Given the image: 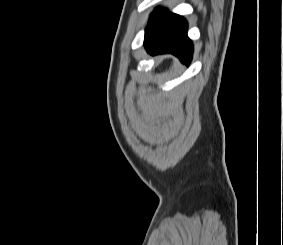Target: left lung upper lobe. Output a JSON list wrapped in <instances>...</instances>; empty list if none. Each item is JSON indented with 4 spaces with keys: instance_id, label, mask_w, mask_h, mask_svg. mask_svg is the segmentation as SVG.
Here are the masks:
<instances>
[{
    "instance_id": "1",
    "label": "left lung upper lobe",
    "mask_w": 283,
    "mask_h": 245,
    "mask_svg": "<svg viewBox=\"0 0 283 245\" xmlns=\"http://www.w3.org/2000/svg\"><path fill=\"white\" fill-rule=\"evenodd\" d=\"M167 12V10L163 8H156L155 11L151 14L150 20L148 22V26L145 30V33L148 32L151 28L155 26V24L160 20V18Z\"/></svg>"
}]
</instances>
